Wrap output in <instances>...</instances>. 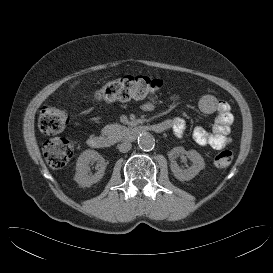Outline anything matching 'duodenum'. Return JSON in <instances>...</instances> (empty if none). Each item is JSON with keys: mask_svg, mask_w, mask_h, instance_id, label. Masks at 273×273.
I'll list each match as a JSON object with an SVG mask.
<instances>
[{"mask_svg": "<svg viewBox=\"0 0 273 273\" xmlns=\"http://www.w3.org/2000/svg\"><path fill=\"white\" fill-rule=\"evenodd\" d=\"M166 129L165 124L153 125H133L128 128V135L131 139H137L141 135L149 132L160 133ZM88 146L93 149H105L112 145L111 139L103 135H92L87 140Z\"/></svg>", "mask_w": 273, "mask_h": 273, "instance_id": "duodenum-1", "label": "duodenum"}]
</instances>
